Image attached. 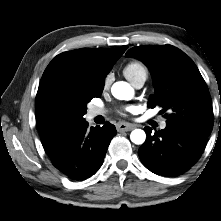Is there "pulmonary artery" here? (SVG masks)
<instances>
[{
	"label": "pulmonary artery",
	"instance_id": "pulmonary-artery-1",
	"mask_svg": "<svg viewBox=\"0 0 221 221\" xmlns=\"http://www.w3.org/2000/svg\"><path fill=\"white\" fill-rule=\"evenodd\" d=\"M146 81V76H142V77H139L137 79H135L132 83V85L137 88V89H140L144 83ZM105 113V110H103L102 108H98V107H95V108H92L89 112V115L90 117H95L97 115H101V114H104ZM166 127V123L165 122H162L161 123V128L164 129Z\"/></svg>",
	"mask_w": 221,
	"mask_h": 221
}]
</instances>
